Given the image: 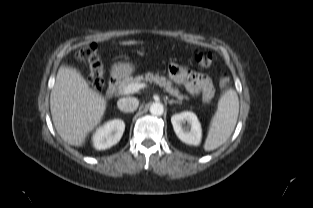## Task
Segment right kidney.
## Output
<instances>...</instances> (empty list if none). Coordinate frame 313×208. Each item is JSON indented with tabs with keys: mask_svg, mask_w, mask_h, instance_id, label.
I'll return each instance as SVG.
<instances>
[{
	"mask_svg": "<svg viewBox=\"0 0 313 208\" xmlns=\"http://www.w3.org/2000/svg\"><path fill=\"white\" fill-rule=\"evenodd\" d=\"M125 130L121 119H114L99 127L93 135V145L97 150H105L117 144Z\"/></svg>",
	"mask_w": 313,
	"mask_h": 208,
	"instance_id": "obj_1",
	"label": "right kidney"
}]
</instances>
